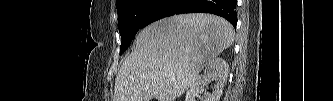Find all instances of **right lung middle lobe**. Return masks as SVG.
<instances>
[{"label": "right lung middle lobe", "instance_id": "dd1d6c3e", "mask_svg": "<svg viewBox=\"0 0 333 101\" xmlns=\"http://www.w3.org/2000/svg\"><path fill=\"white\" fill-rule=\"evenodd\" d=\"M160 1L119 0L116 2L118 27L122 38L120 54L128 48L139 29L145 27L148 15Z\"/></svg>", "mask_w": 333, "mask_h": 101}]
</instances>
